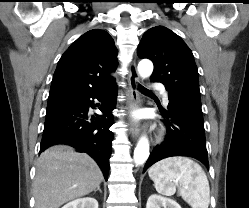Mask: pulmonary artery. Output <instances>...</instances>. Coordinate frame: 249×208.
<instances>
[{
	"label": "pulmonary artery",
	"mask_w": 249,
	"mask_h": 208,
	"mask_svg": "<svg viewBox=\"0 0 249 208\" xmlns=\"http://www.w3.org/2000/svg\"><path fill=\"white\" fill-rule=\"evenodd\" d=\"M153 87L160 91V93L162 94L163 102L165 105H167L168 104V94H167L166 90L164 89V87L160 84H155Z\"/></svg>",
	"instance_id": "1"
}]
</instances>
